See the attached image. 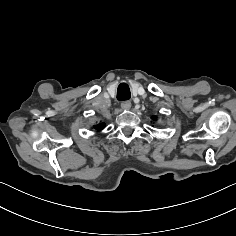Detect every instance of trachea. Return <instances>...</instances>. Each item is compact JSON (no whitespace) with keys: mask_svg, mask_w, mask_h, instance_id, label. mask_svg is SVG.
<instances>
[{"mask_svg":"<svg viewBox=\"0 0 236 236\" xmlns=\"http://www.w3.org/2000/svg\"><path fill=\"white\" fill-rule=\"evenodd\" d=\"M131 97L129 86L126 83H121L117 89V99L120 101L128 100Z\"/></svg>","mask_w":236,"mask_h":236,"instance_id":"trachea-1","label":"trachea"}]
</instances>
